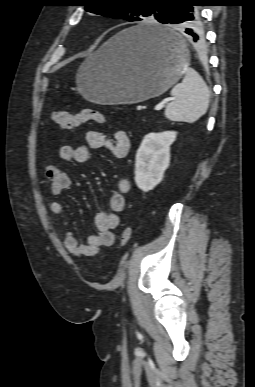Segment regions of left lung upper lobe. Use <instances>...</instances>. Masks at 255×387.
I'll use <instances>...</instances> for the list:
<instances>
[{
  "instance_id": "obj_1",
  "label": "left lung upper lobe",
  "mask_w": 255,
  "mask_h": 387,
  "mask_svg": "<svg viewBox=\"0 0 255 387\" xmlns=\"http://www.w3.org/2000/svg\"><path fill=\"white\" fill-rule=\"evenodd\" d=\"M182 0H80L85 10L111 18H121L130 22L141 21L153 16L165 23L171 6Z\"/></svg>"
}]
</instances>
